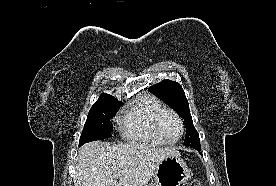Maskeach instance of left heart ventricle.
Wrapping results in <instances>:
<instances>
[{"label":"left heart ventricle","instance_id":"1","mask_svg":"<svg viewBox=\"0 0 276 186\" xmlns=\"http://www.w3.org/2000/svg\"><path fill=\"white\" fill-rule=\"evenodd\" d=\"M160 130L168 140H175L180 134V126L171 114H165L160 119Z\"/></svg>","mask_w":276,"mask_h":186}]
</instances>
